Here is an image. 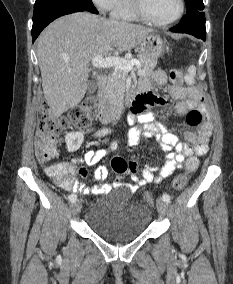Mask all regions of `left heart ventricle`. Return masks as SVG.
Returning <instances> with one entry per match:
<instances>
[{"instance_id":"obj_1","label":"left heart ventricle","mask_w":233,"mask_h":284,"mask_svg":"<svg viewBox=\"0 0 233 284\" xmlns=\"http://www.w3.org/2000/svg\"><path fill=\"white\" fill-rule=\"evenodd\" d=\"M149 15L158 21L173 18L179 9L178 0H144Z\"/></svg>"}]
</instances>
